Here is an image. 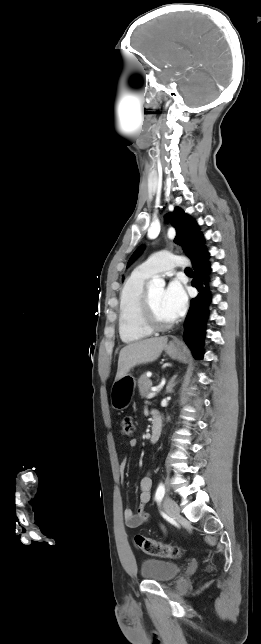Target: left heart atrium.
<instances>
[{
    "mask_svg": "<svg viewBox=\"0 0 261 644\" xmlns=\"http://www.w3.org/2000/svg\"><path fill=\"white\" fill-rule=\"evenodd\" d=\"M163 303L173 320L179 318L185 312L187 296L179 281H171L164 289Z\"/></svg>",
    "mask_w": 261,
    "mask_h": 644,
    "instance_id": "obj_1",
    "label": "left heart atrium"
}]
</instances>
